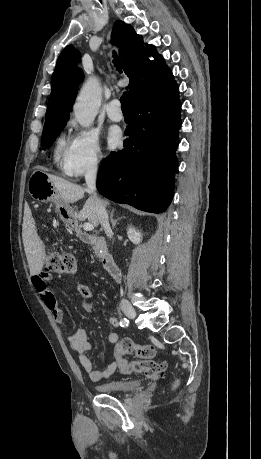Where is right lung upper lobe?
I'll use <instances>...</instances> for the list:
<instances>
[{
  "instance_id": "cb5924a9",
  "label": "right lung upper lobe",
  "mask_w": 261,
  "mask_h": 459,
  "mask_svg": "<svg viewBox=\"0 0 261 459\" xmlns=\"http://www.w3.org/2000/svg\"><path fill=\"white\" fill-rule=\"evenodd\" d=\"M111 37L112 44L119 47L123 70L130 79L127 88L131 104L174 82L171 71L155 47L147 44L143 46L142 36L137 35L131 26L117 21ZM149 56L155 59L151 61ZM79 60L80 52L71 45L61 52L52 76L44 126L66 123L69 119L78 84L83 80V73L77 67Z\"/></svg>"
}]
</instances>
